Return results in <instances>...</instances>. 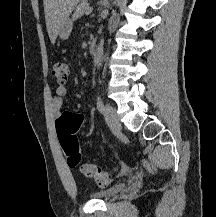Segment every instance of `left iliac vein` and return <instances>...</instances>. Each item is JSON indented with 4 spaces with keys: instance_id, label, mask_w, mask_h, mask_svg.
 <instances>
[{
    "instance_id": "4c4485c4",
    "label": "left iliac vein",
    "mask_w": 216,
    "mask_h": 217,
    "mask_svg": "<svg viewBox=\"0 0 216 217\" xmlns=\"http://www.w3.org/2000/svg\"><path fill=\"white\" fill-rule=\"evenodd\" d=\"M103 115L107 125L113 132H118L121 130V122L118 115L116 114L115 109L111 105L107 104L104 107Z\"/></svg>"
}]
</instances>
